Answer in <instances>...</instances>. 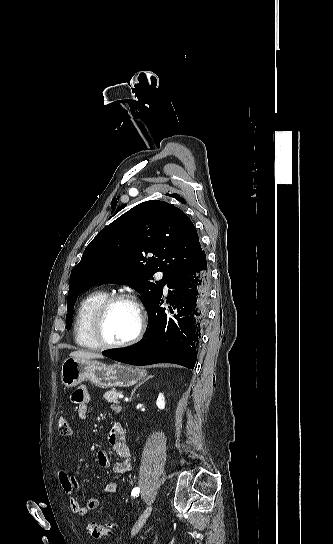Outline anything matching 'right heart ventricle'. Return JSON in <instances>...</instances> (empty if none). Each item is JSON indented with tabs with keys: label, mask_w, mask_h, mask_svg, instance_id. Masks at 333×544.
I'll return each mask as SVG.
<instances>
[{
	"label": "right heart ventricle",
	"mask_w": 333,
	"mask_h": 544,
	"mask_svg": "<svg viewBox=\"0 0 333 544\" xmlns=\"http://www.w3.org/2000/svg\"><path fill=\"white\" fill-rule=\"evenodd\" d=\"M104 290H96L87 294L80 302L74 321V336L76 343L83 348L97 349L98 345L90 334V322L97 306L107 297Z\"/></svg>",
	"instance_id": "1"
}]
</instances>
